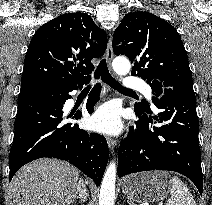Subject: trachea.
<instances>
[{
  "mask_svg": "<svg viewBox=\"0 0 212 205\" xmlns=\"http://www.w3.org/2000/svg\"><path fill=\"white\" fill-rule=\"evenodd\" d=\"M95 78H101L103 82L108 84L113 89L122 92V93H135L132 90H129L125 87H123L118 81H116L111 74L109 73V70L107 68L106 60L102 59L97 66V69L95 71ZM90 87V86H89Z\"/></svg>",
  "mask_w": 212,
  "mask_h": 205,
  "instance_id": "3493384b",
  "label": "trachea"
}]
</instances>
